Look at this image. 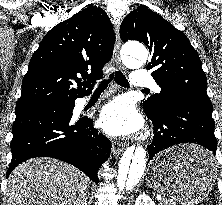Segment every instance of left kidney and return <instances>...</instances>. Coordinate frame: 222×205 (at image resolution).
<instances>
[{
	"label": "left kidney",
	"mask_w": 222,
	"mask_h": 205,
	"mask_svg": "<svg viewBox=\"0 0 222 205\" xmlns=\"http://www.w3.org/2000/svg\"><path fill=\"white\" fill-rule=\"evenodd\" d=\"M135 205H156V204L146 194H140L135 201Z\"/></svg>",
	"instance_id": "1"
}]
</instances>
